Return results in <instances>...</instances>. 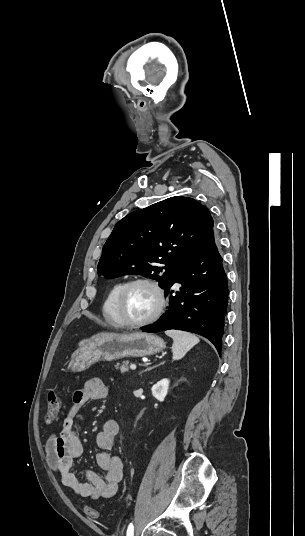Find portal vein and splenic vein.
<instances>
[{
  "label": "portal vein and splenic vein",
  "mask_w": 305,
  "mask_h": 536,
  "mask_svg": "<svg viewBox=\"0 0 305 536\" xmlns=\"http://www.w3.org/2000/svg\"><path fill=\"white\" fill-rule=\"evenodd\" d=\"M131 370H136V366L135 364H132V366H130Z\"/></svg>",
  "instance_id": "18ae733b"
}]
</instances>
